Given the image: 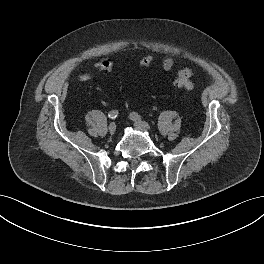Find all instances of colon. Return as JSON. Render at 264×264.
<instances>
[{"label":"colon","mask_w":264,"mask_h":264,"mask_svg":"<svg viewBox=\"0 0 264 264\" xmlns=\"http://www.w3.org/2000/svg\"><path fill=\"white\" fill-rule=\"evenodd\" d=\"M153 63V57L147 55L143 57L140 64L143 67H149ZM98 68L104 71H110L112 69V62L109 60H104L98 63ZM192 71L190 69H182L177 77L173 81V86L176 89L191 90L193 88V83L191 81Z\"/></svg>","instance_id":"5ec220e1"}]
</instances>
